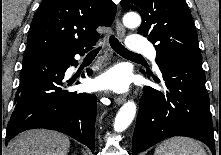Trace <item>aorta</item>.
I'll return each mask as SVG.
<instances>
[{
  "instance_id": "762f6f07",
  "label": "aorta",
  "mask_w": 221,
  "mask_h": 155,
  "mask_svg": "<svg viewBox=\"0 0 221 155\" xmlns=\"http://www.w3.org/2000/svg\"><path fill=\"white\" fill-rule=\"evenodd\" d=\"M123 23L126 27L135 28L138 27L141 23V18L137 13H127L123 18ZM136 114V104L133 101H128L120 108L118 111L115 121H114V130L116 132H122L133 121Z\"/></svg>"
}]
</instances>
